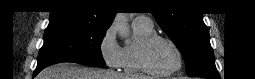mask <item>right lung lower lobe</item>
<instances>
[{
    "instance_id": "98d812e1",
    "label": "right lung lower lobe",
    "mask_w": 255,
    "mask_h": 79,
    "mask_svg": "<svg viewBox=\"0 0 255 79\" xmlns=\"http://www.w3.org/2000/svg\"><path fill=\"white\" fill-rule=\"evenodd\" d=\"M43 68H36L34 72V76H36Z\"/></svg>"
}]
</instances>
